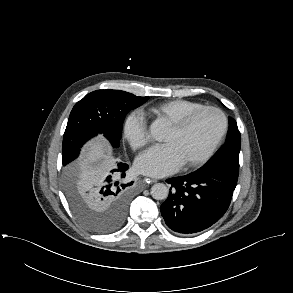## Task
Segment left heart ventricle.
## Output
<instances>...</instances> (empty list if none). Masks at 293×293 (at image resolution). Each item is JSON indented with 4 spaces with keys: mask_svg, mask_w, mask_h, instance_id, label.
Listing matches in <instances>:
<instances>
[{
    "mask_svg": "<svg viewBox=\"0 0 293 293\" xmlns=\"http://www.w3.org/2000/svg\"><path fill=\"white\" fill-rule=\"evenodd\" d=\"M222 128V120L215 112H204L197 116L182 132L168 128L163 139L174 146L183 163L201 156L213 143Z\"/></svg>",
    "mask_w": 293,
    "mask_h": 293,
    "instance_id": "obj_1",
    "label": "left heart ventricle"
}]
</instances>
